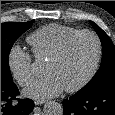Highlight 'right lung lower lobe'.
<instances>
[{
	"instance_id": "1",
	"label": "right lung lower lobe",
	"mask_w": 115,
	"mask_h": 115,
	"mask_svg": "<svg viewBox=\"0 0 115 115\" xmlns=\"http://www.w3.org/2000/svg\"><path fill=\"white\" fill-rule=\"evenodd\" d=\"M18 95L19 90L14 83H1V115H28L33 110L34 102L31 99L19 100Z\"/></svg>"
}]
</instances>
